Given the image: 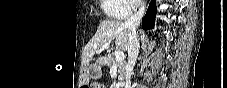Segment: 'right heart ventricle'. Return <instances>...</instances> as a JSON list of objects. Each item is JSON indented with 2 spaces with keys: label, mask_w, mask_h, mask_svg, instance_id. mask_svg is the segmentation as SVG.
<instances>
[{
  "label": "right heart ventricle",
  "mask_w": 227,
  "mask_h": 88,
  "mask_svg": "<svg viewBox=\"0 0 227 88\" xmlns=\"http://www.w3.org/2000/svg\"><path fill=\"white\" fill-rule=\"evenodd\" d=\"M103 12L111 19H122L128 11V4L124 0H101Z\"/></svg>",
  "instance_id": "right-heart-ventricle-1"
}]
</instances>
